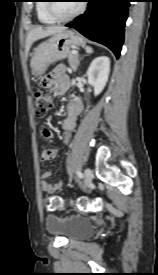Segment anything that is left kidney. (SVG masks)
Listing matches in <instances>:
<instances>
[{"label":"left kidney","mask_w":158,"mask_h":275,"mask_svg":"<svg viewBox=\"0 0 158 275\" xmlns=\"http://www.w3.org/2000/svg\"><path fill=\"white\" fill-rule=\"evenodd\" d=\"M109 72V57L99 56L91 62L87 70V77L89 84L92 85L94 88L95 96L99 95L103 91L108 81Z\"/></svg>","instance_id":"1"}]
</instances>
